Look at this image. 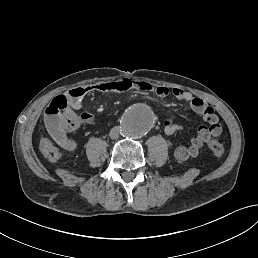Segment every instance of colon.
Masks as SVG:
<instances>
[{"label": "colon", "instance_id": "obj_1", "mask_svg": "<svg viewBox=\"0 0 258 258\" xmlns=\"http://www.w3.org/2000/svg\"><path fill=\"white\" fill-rule=\"evenodd\" d=\"M81 123V117L71 113H68L64 118V125L67 130H75ZM208 147L216 157H222L225 152L224 144L216 138H211L209 140ZM40 150L43 156L50 162L57 161L60 156L59 149L48 139H43L41 141Z\"/></svg>", "mask_w": 258, "mask_h": 258}]
</instances>
